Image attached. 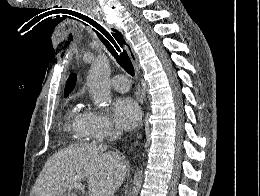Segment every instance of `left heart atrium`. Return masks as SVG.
<instances>
[{
    "instance_id": "obj_1",
    "label": "left heart atrium",
    "mask_w": 260,
    "mask_h": 196,
    "mask_svg": "<svg viewBox=\"0 0 260 196\" xmlns=\"http://www.w3.org/2000/svg\"><path fill=\"white\" fill-rule=\"evenodd\" d=\"M113 112L116 122L124 129L134 128L141 118L138 104L129 97L118 98L114 102Z\"/></svg>"
}]
</instances>
